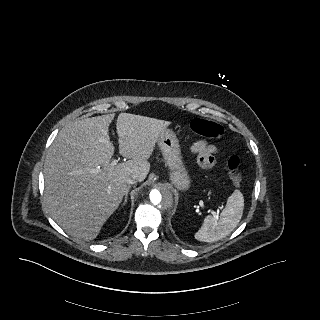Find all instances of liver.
I'll list each match as a JSON object with an SVG mask.
<instances>
[{
  "instance_id": "1",
  "label": "liver",
  "mask_w": 320,
  "mask_h": 320,
  "mask_svg": "<svg viewBox=\"0 0 320 320\" xmlns=\"http://www.w3.org/2000/svg\"><path fill=\"white\" fill-rule=\"evenodd\" d=\"M114 114L77 119L57 135L45 159L44 201L57 224L68 234L93 240L119 207L136 175L142 182L149 170L148 159L161 131L171 124L155 118L120 113L116 129L119 153L128 161L111 166L114 146L109 125ZM102 166L99 173L92 169Z\"/></svg>"
}]
</instances>
